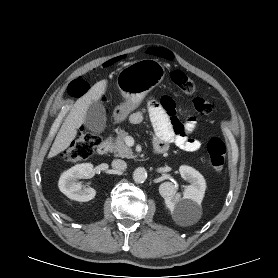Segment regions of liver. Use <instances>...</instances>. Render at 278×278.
I'll use <instances>...</instances> for the list:
<instances>
[{
	"label": "liver",
	"instance_id": "1",
	"mask_svg": "<svg viewBox=\"0 0 278 278\" xmlns=\"http://www.w3.org/2000/svg\"><path fill=\"white\" fill-rule=\"evenodd\" d=\"M107 80L97 82L80 99L76 101L73 108L65 118L48 154L52 158L67 149L77 135V129L84 123L88 108L92 101L99 100L105 93Z\"/></svg>",
	"mask_w": 278,
	"mask_h": 278
}]
</instances>
